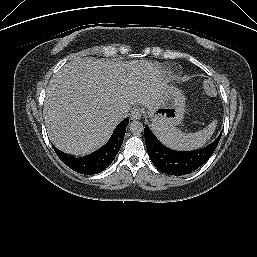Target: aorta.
I'll use <instances>...</instances> for the list:
<instances>
[{"mask_svg": "<svg viewBox=\"0 0 257 257\" xmlns=\"http://www.w3.org/2000/svg\"><path fill=\"white\" fill-rule=\"evenodd\" d=\"M129 129L133 134H140L144 130V126L140 121H132L129 124Z\"/></svg>", "mask_w": 257, "mask_h": 257, "instance_id": "1", "label": "aorta"}]
</instances>
